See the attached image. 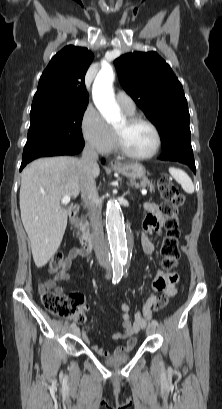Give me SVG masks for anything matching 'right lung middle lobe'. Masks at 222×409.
<instances>
[{"instance_id": "right-lung-middle-lobe-1", "label": "right lung middle lobe", "mask_w": 222, "mask_h": 409, "mask_svg": "<svg viewBox=\"0 0 222 409\" xmlns=\"http://www.w3.org/2000/svg\"><path fill=\"white\" fill-rule=\"evenodd\" d=\"M86 107L87 103H73L31 109L22 160L43 155H66L84 146L80 126Z\"/></svg>"}]
</instances>
